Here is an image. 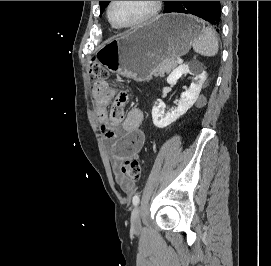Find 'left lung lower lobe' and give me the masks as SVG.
<instances>
[{
    "label": "left lung lower lobe",
    "mask_w": 271,
    "mask_h": 266,
    "mask_svg": "<svg viewBox=\"0 0 271 266\" xmlns=\"http://www.w3.org/2000/svg\"><path fill=\"white\" fill-rule=\"evenodd\" d=\"M179 12L198 16L208 21L217 31L221 22L220 1H169L163 13Z\"/></svg>",
    "instance_id": "1"
}]
</instances>
